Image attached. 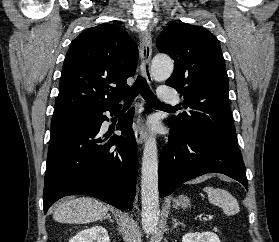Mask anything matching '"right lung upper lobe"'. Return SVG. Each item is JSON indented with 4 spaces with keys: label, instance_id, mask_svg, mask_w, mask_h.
Returning a JSON list of instances; mask_svg holds the SVG:
<instances>
[{
    "label": "right lung upper lobe",
    "instance_id": "obj_1",
    "mask_svg": "<svg viewBox=\"0 0 279 242\" xmlns=\"http://www.w3.org/2000/svg\"><path fill=\"white\" fill-rule=\"evenodd\" d=\"M137 62V45L122 28L100 24L83 31L67 52L53 117L118 107Z\"/></svg>",
    "mask_w": 279,
    "mask_h": 242
}]
</instances>
